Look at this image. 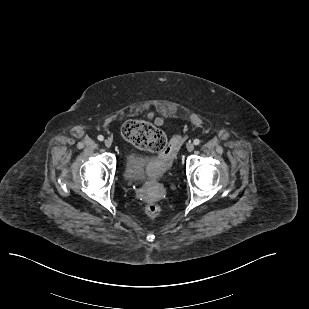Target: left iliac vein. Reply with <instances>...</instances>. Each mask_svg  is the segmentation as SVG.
Listing matches in <instances>:
<instances>
[{
	"label": "left iliac vein",
	"mask_w": 309,
	"mask_h": 309,
	"mask_svg": "<svg viewBox=\"0 0 309 309\" xmlns=\"http://www.w3.org/2000/svg\"><path fill=\"white\" fill-rule=\"evenodd\" d=\"M187 150H188L189 152L193 151V150H194V144L189 143V144L187 145Z\"/></svg>",
	"instance_id": "1"
}]
</instances>
